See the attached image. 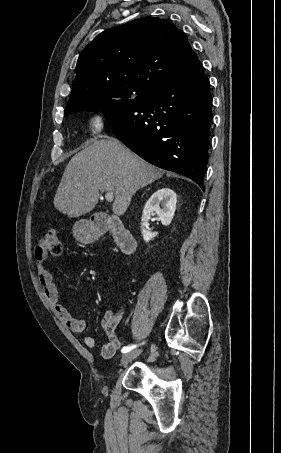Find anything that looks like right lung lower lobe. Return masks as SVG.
Returning <instances> with one entry per match:
<instances>
[{"instance_id": "98d812e1", "label": "right lung lower lobe", "mask_w": 281, "mask_h": 453, "mask_svg": "<svg viewBox=\"0 0 281 453\" xmlns=\"http://www.w3.org/2000/svg\"><path fill=\"white\" fill-rule=\"evenodd\" d=\"M212 96L199 59L179 76L102 110L115 136L147 162L204 190Z\"/></svg>"}]
</instances>
